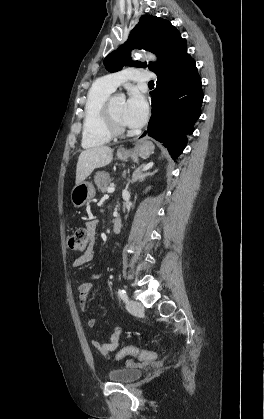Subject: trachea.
<instances>
[{
  "label": "trachea",
  "mask_w": 264,
  "mask_h": 419,
  "mask_svg": "<svg viewBox=\"0 0 264 419\" xmlns=\"http://www.w3.org/2000/svg\"><path fill=\"white\" fill-rule=\"evenodd\" d=\"M148 84L149 85H154V81H150Z\"/></svg>",
  "instance_id": "1"
}]
</instances>
